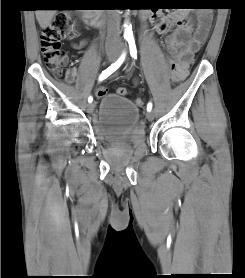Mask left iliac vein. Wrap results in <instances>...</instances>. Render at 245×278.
<instances>
[{"mask_svg":"<svg viewBox=\"0 0 245 278\" xmlns=\"http://www.w3.org/2000/svg\"><path fill=\"white\" fill-rule=\"evenodd\" d=\"M154 116H155V114L152 111H148L147 114H146V117L149 121L153 120Z\"/></svg>","mask_w":245,"mask_h":278,"instance_id":"left-iliac-vein-1","label":"left iliac vein"}]
</instances>
